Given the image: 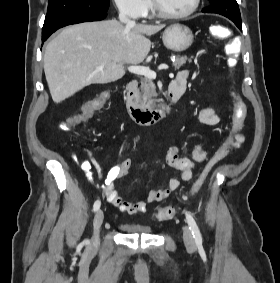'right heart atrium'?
Instances as JSON below:
<instances>
[{"mask_svg": "<svg viewBox=\"0 0 280 283\" xmlns=\"http://www.w3.org/2000/svg\"><path fill=\"white\" fill-rule=\"evenodd\" d=\"M120 13L134 20L147 16L150 9L149 0H115Z\"/></svg>", "mask_w": 280, "mask_h": 283, "instance_id": "1", "label": "right heart atrium"}]
</instances>
